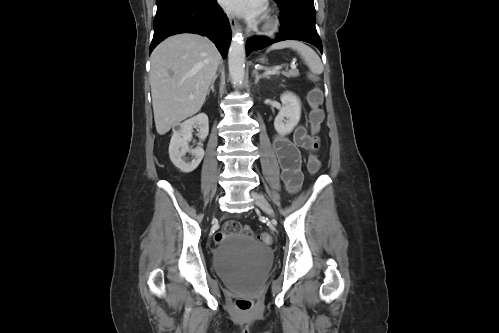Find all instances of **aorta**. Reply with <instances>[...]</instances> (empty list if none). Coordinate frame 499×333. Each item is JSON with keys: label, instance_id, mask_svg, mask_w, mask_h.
Masks as SVG:
<instances>
[{"label": "aorta", "instance_id": "obj_1", "mask_svg": "<svg viewBox=\"0 0 499 333\" xmlns=\"http://www.w3.org/2000/svg\"><path fill=\"white\" fill-rule=\"evenodd\" d=\"M229 75L234 85L240 86L245 76V47L240 33L234 35L228 53Z\"/></svg>", "mask_w": 499, "mask_h": 333}]
</instances>
